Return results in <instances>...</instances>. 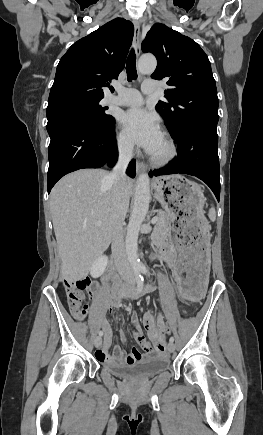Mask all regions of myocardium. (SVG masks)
<instances>
[{
	"instance_id": "f54148a6",
	"label": "myocardium",
	"mask_w": 263,
	"mask_h": 435,
	"mask_svg": "<svg viewBox=\"0 0 263 435\" xmlns=\"http://www.w3.org/2000/svg\"><path fill=\"white\" fill-rule=\"evenodd\" d=\"M168 146V152L163 156H157L153 153L150 154V162L154 166H165L171 163L178 154V148L174 139L170 136H164L163 138Z\"/></svg>"
}]
</instances>
